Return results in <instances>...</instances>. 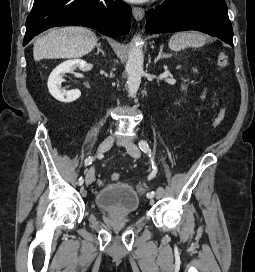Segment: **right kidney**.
<instances>
[{
    "label": "right kidney",
    "instance_id": "ca27d5eb",
    "mask_svg": "<svg viewBox=\"0 0 255 272\" xmlns=\"http://www.w3.org/2000/svg\"><path fill=\"white\" fill-rule=\"evenodd\" d=\"M87 63L81 59L68 60L58 65L50 74L48 78V90L50 94L58 101L70 103L77 100L81 96L78 89L67 91L62 88V78L65 73L72 72L76 68L84 69Z\"/></svg>",
    "mask_w": 255,
    "mask_h": 272
}]
</instances>
